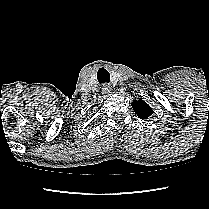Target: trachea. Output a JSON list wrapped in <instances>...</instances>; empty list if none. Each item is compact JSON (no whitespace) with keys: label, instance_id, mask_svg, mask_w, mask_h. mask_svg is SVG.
Returning a JSON list of instances; mask_svg holds the SVG:
<instances>
[{"label":"trachea","instance_id":"1","mask_svg":"<svg viewBox=\"0 0 209 209\" xmlns=\"http://www.w3.org/2000/svg\"><path fill=\"white\" fill-rule=\"evenodd\" d=\"M98 81L99 83L103 84V83H109L110 81V75L109 73H105V74H99V76L97 75Z\"/></svg>","mask_w":209,"mask_h":209}]
</instances>
